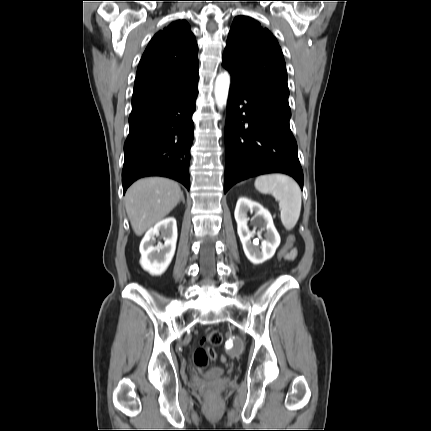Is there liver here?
<instances>
[{
  "label": "liver",
  "instance_id": "obj_1",
  "mask_svg": "<svg viewBox=\"0 0 431 431\" xmlns=\"http://www.w3.org/2000/svg\"><path fill=\"white\" fill-rule=\"evenodd\" d=\"M182 194L180 186L167 178L149 177L132 184L125 195V207L135 234L141 236L164 219Z\"/></svg>",
  "mask_w": 431,
  "mask_h": 431
}]
</instances>
